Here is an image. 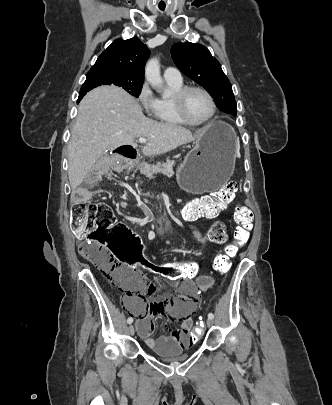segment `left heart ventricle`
Here are the masks:
<instances>
[{"mask_svg": "<svg viewBox=\"0 0 332 405\" xmlns=\"http://www.w3.org/2000/svg\"><path fill=\"white\" fill-rule=\"evenodd\" d=\"M212 110L208 97L200 91H191L186 98V112L190 119L201 121L206 119Z\"/></svg>", "mask_w": 332, "mask_h": 405, "instance_id": "1", "label": "left heart ventricle"}]
</instances>
